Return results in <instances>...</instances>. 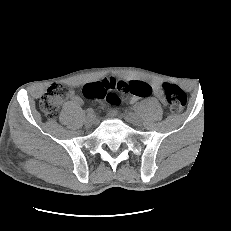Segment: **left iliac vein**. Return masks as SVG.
<instances>
[{
	"instance_id": "1",
	"label": "left iliac vein",
	"mask_w": 231,
	"mask_h": 231,
	"mask_svg": "<svg viewBox=\"0 0 231 231\" xmlns=\"http://www.w3.org/2000/svg\"><path fill=\"white\" fill-rule=\"evenodd\" d=\"M127 121H129L131 124L138 126L141 124V118L134 113H130L126 116Z\"/></svg>"
}]
</instances>
